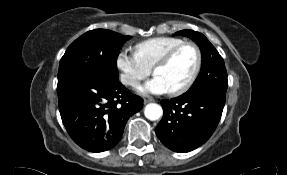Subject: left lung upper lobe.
<instances>
[{"label": "left lung upper lobe", "mask_w": 287, "mask_h": 175, "mask_svg": "<svg viewBox=\"0 0 287 175\" xmlns=\"http://www.w3.org/2000/svg\"><path fill=\"white\" fill-rule=\"evenodd\" d=\"M175 35L190 37L197 43L202 53L200 74L187 93L212 91L226 94L228 80L224 61L207 38L203 34L192 30L179 31Z\"/></svg>", "instance_id": "5c2ea615"}]
</instances>
